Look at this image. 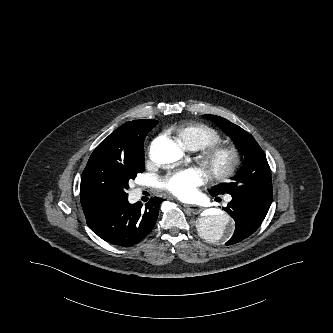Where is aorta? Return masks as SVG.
<instances>
[{
	"label": "aorta",
	"instance_id": "1",
	"mask_svg": "<svg viewBox=\"0 0 333 333\" xmlns=\"http://www.w3.org/2000/svg\"><path fill=\"white\" fill-rule=\"evenodd\" d=\"M150 156L156 163H173L182 157V151L171 140L158 139L150 148ZM199 230L206 239L225 241L232 235L233 226L228 214L212 211L199 220Z\"/></svg>",
	"mask_w": 333,
	"mask_h": 333
}]
</instances>
